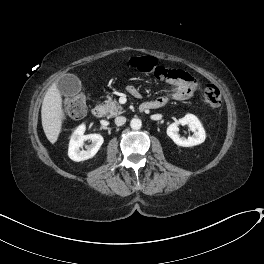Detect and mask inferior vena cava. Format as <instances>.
<instances>
[{
  "label": "inferior vena cava",
  "instance_id": "1",
  "mask_svg": "<svg viewBox=\"0 0 264 264\" xmlns=\"http://www.w3.org/2000/svg\"><path fill=\"white\" fill-rule=\"evenodd\" d=\"M125 122H126V118L124 116H119L115 118V124L118 126L125 124Z\"/></svg>",
  "mask_w": 264,
  "mask_h": 264
}]
</instances>
